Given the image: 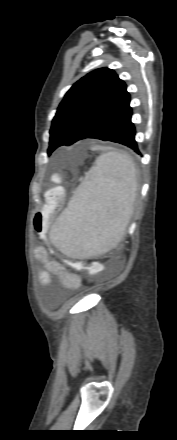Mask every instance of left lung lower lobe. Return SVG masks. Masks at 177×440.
Here are the masks:
<instances>
[{
    "label": "left lung lower lobe",
    "instance_id": "0a47b994",
    "mask_svg": "<svg viewBox=\"0 0 177 440\" xmlns=\"http://www.w3.org/2000/svg\"><path fill=\"white\" fill-rule=\"evenodd\" d=\"M131 116L132 109L128 104L107 121L87 133L82 139L95 138L120 143L130 147L137 154L141 155L137 142L135 141L136 131L134 124L131 122Z\"/></svg>",
    "mask_w": 177,
    "mask_h": 440
}]
</instances>
